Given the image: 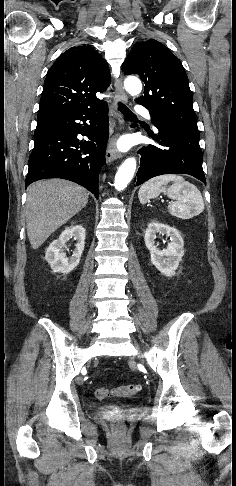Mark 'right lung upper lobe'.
<instances>
[{
  "label": "right lung upper lobe",
  "instance_id": "1",
  "mask_svg": "<svg viewBox=\"0 0 236 486\" xmlns=\"http://www.w3.org/2000/svg\"><path fill=\"white\" fill-rule=\"evenodd\" d=\"M109 84V68L102 56L89 46L72 47L47 73L37 120L100 105L104 101L96 93Z\"/></svg>",
  "mask_w": 236,
  "mask_h": 486
}]
</instances>
